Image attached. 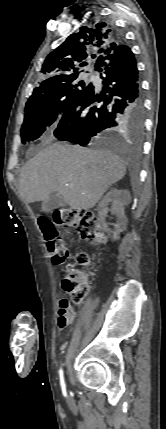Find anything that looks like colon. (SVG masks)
Returning a JSON list of instances; mask_svg holds the SVG:
<instances>
[{
  "label": "colon",
  "mask_w": 166,
  "mask_h": 429,
  "mask_svg": "<svg viewBox=\"0 0 166 429\" xmlns=\"http://www.w3.org/2000/svg\"><path fill=\"white\" fill-rule=\"evenodd\" d=\"M39 224L54 264H62L69 256L68 248L56 226L74 228L83 240L92 244L105 240L99 219L94 213L87 210L61 208L54 212L52 219L40 218ZM76 260L80 265L89 264V258L85 253L78 254ZM62 288L74 304L81 303L88 293L85 276L79 270H73L64 277Z\"/></svg>",
  "instance_id": "1"
}]
</instances>
